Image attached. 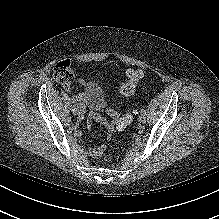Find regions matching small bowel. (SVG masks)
<instances>
[{"label":"small bowel","mask_w":219,"mask_h":219,"mask_svg":"<svg viewBox=\"0 0 219 219\" xmlns=\"http://www.w3.org/2000/svg\"><path fill=\"white\" fill-rule=\"evenodd\" d=\"M81 83L83 84V81H81ZM67 90H71V87L68 86L67 87ZM75 97L79 100V101H83V102H86V103H89V99L87 98V96L83 95V94H76ZM103 151V146H100L98 148H95V149H91L89 154L90 156L96 158V157H99L101 155Z\"/></svg>","instance_id":"c3829d8e"}]
</instances>
